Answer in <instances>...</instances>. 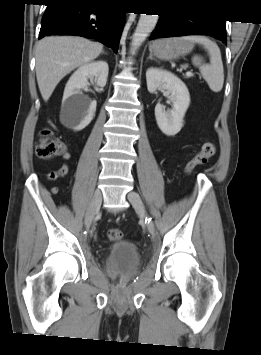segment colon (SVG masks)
<instances>
[{
	"label": "colon",
	"instance_id": "1",
	"mask_svg": "<svg viewBox=\"0 0 261 355\" xmlns=\"http://www.w3.org/2000/svg\"><path fill=\"white\" fill-rule=\"evenodd\" d=\"M67 145L50 129H44L36 145V154L39 158L52 160L64 156ZM216 146L213 142L203 144L200 151L187 163L186 171L191 173L196 167L203 165L214 156ZM122 231L118 228H111L107 231V237L110 241H118L122 238Z\"/></svg>",
	"mask_w": 261,
	"mask_h": 355
}]
</instances>
